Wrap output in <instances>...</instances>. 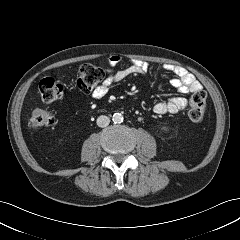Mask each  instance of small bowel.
Returning a JSON list of instances; mask_svg holds the SVG:
<instances>
[{"label": "small bowel", "instance_id": "c3829d8e", "mask_svg": "<svg viewBox=\"0 0 240 240\" xmlns=\"http://www.w3.org/2000/svg\"><path fill=\"white\" fill-rule=\"evenodd\" d=\"M123 62V57L120 55H112L108 59L109 69L106 70V77L104 81L98 85L92 92V97L100 99L104 97L110 87L118 82L125 80L133 75H147L150 71V66L147 62L142 60H131L128 67L121 70H113V67L120 65ZM163 69L173 74L171 85L180 93H194L201 90L202 86L196 78L187 72L184 68L175 66L173 64H163ZM187 99L185 97H173L169 100L159 101L153 107L154 113L158 115L175 114L187 107Z\"/></svg>", "mask_w": 240, "mask_h": 240}]
</instances>
